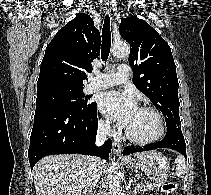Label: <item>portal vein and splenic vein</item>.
<instances>
[{
	"label": "portal vein and splenic vein",
	"instance_id": "portal-vein-and-splenic-vein-1",
	"mask_svg": "<svg viewBox=\"0 0 211 195\" xmlns=\"http://www.w3.org/2000/svg\"><path fill=\"white\" fill-rule=\"evenodd\" d=\"M142 188V185L141 184H138L135 189H134V193H137V191Z\"/></svg>",
	"mask_w": 211,
	"mask_h": 195
}]
</instances>
